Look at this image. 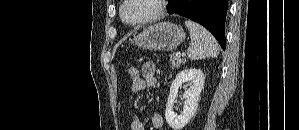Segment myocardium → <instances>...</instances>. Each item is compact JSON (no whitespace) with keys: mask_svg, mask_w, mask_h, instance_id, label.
Returning <instances> with one entry per match:
<instances>
[{"mask_svg":"<svg viewBox=\"0 0 299 130\" xmlns=\"http://www.w3.org/2000/svg\"><path fill=\"white\" fill-rule=\"evenodd\" d=\"M168 1L166 0H125L122 2L120 6V19L121 21L129 26H139L143 25L149 22H152L159 18L166 9V4ZM135 3H147L151 6H153V10L145 15L144 17H141L139 19L129 21L125 18V10L128 6L135 4Z\"/></svg>","mask_w":299,"mask_h":130,"instance_id":"f54148a6","label":"myocardium"}]
</instances>
